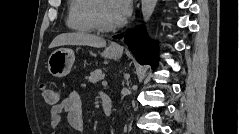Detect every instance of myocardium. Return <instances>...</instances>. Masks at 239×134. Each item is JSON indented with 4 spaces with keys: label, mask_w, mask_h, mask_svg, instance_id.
Listing matches in <instances>:
<instances>
[{
    "label": "myocardium",
    "mask_w": 239,
    "mask_h": 134,
    "mask_svg": "<svg viewBox=\"0 0 239 134\" xmlns=\"http://www.w3.org/2000/svg\"><path fill=\"white\" fill-rule=\"evenodd\" d=\"M103 0H93L92 6L90 9V20L94 27L99 32H110L116 28L114 26H106L102 23L99 17V5Z\"/></svg>",
    "instance_id": "1"
}]
</instances>
